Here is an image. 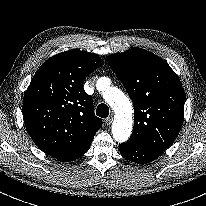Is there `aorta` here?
<instances>
[{
  "mask_svg": "<svg viewBox=\"0 0 206 206\" xmlns=\"http://www.w3.org/2000/svg\"><path fill=\"white\" fill-rule=\"evenodd\" d=\"M97 87L103 91V98L115 112L112 125L113 138L120 143L127 141L133 127L132 103L120 89L110 87L108 78H100Z\"/></svg>",
  "mask_w": 206,
  "mask_h": 206,
  "instance_id": "obj_1",
  "label": "aorta"
}]
</instances>
